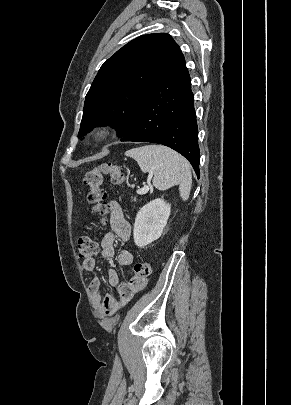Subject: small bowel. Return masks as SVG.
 I'll return each mask as SVG.
<instances>
[{"label": "small bowel", "mask_w": 291, "mask_h": 405, "mask_svg": "<svg viewBox=\"0 0 291 405\" xmlns=\"http://www.w3.org/2000/svg\"><path fill=\"white\" fill-rule=\"evenodd\" d=\"M107 209L110 214L111 231L106 233L101 241V255L104 258H112L115 254V242L117 239L128 241L131 237L132 229L129 222L125 219L120 204L116 201H109ZM118 263L122 266H128L133 263V254L130 251L123 250L117 256ZM96 262L93 258L82 262V270L85 272L94 271ZM107 284L115 287L116 296L106 294L101 296L100 279L93 278L88 285V293L96 312L101 317H105L116 311L119 306L125 305L135 293L142 290L146 285V280H134L129 282H120L117 271L109 269L107 274Z\"/></svg>", "instance_id": "obj_1"}]
</instances>
